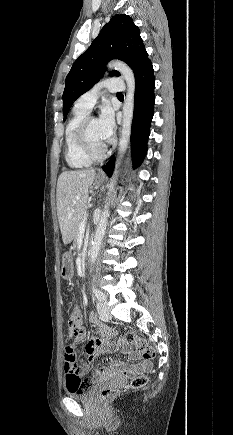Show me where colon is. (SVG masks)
Instances as JSON below:
<instances>
[{"label": "colon", "instance_id": "1", "mask_svg": "<svg viewBox=\"0 0 233 435\" xmlns=\"http://www.w3.org/2000/svg\"><path fill=\"white\" fill-rule=\"evenodd\" d=\"M67 325H68V335L70 338H73L81 329V318L78 315L75 306L70 307V315L67 321ZM108 335L115 342L133 344L135 346V349L146 360L152 361L156 357L155 349L151 345H149L145 339L138 336L135 332H127L124 334H119L117 331L113 329H109ZM105 346L109 347L110 343L106 342ZM63 352H64L65 364L66 365L69 364L73 368H79V364L75 356L74 344L72 342H68L65 344ZM148 381H149V376L147 373H139L131 378L127 387L131 389H138L146 385ZM91 384L92 383L90 381H82L78 375H71L68 378L67 389L68 391L73 393L85 392L90 388ZM117 394H118L117 388H105L101 392L99 398L101 402L108 403L112 401Z\"/></svg>", "mask_w": 233, "mask_h": 435}]
</instances>
